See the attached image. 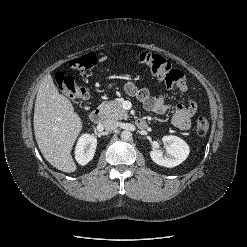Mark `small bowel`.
Instances as JSON below:
<instances>
[{
  "mask_svg": "<svg viewBox=\"0 0 247 247\" xmlns=\"http://www.w3.org/2000/svg\"><path fill=\"white\" fill-rule=\"evenodd\" d=\"M174 85L181 92L187 91V85L184 79ZM124 90L128 95L137 98L147 111L156 114H164L168 111H172L173 123L178 129L187 131L191 128V119L198 108L197 103L193 99H189L187 104L172 106L166 103L162 95H153L148 87H138L132 81L124 84Z\"/></svg>",
  "mask_w": 247,
  "mask_h": 247,
  "instance_id": "1",
  "label": "small bowel"
}]
</instances>
